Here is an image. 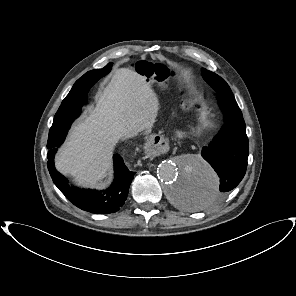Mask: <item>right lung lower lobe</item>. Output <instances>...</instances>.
Returning <instances> with one entry per match:
<instances>
[{
	"mask_svg": "<svg viewBox=\"0 0 296 296\" xmlns=\"http://www.w3.org/2000/svg\"><path fill=\"white\" fill-rule=\"evenodd\" d=\"M98 80V77H89L85 78L84 81L79 84L82 85L81 89L86 91L90 89V87ZM64 139H59L48 147L49 152L47 154V166L54 184L72 204L82 210L95 214L117 212L124 205L125 200L127 199L129 186L135 173L131 172L125 166L122 157L115 154L113 157L115 172L114 181L108 189L96 191L73 187L68 184V180L54 167L56 147H59L63 143Z\"/></svg>",
	"mask_w": 296,
	"mask_h": 296,
	"instance_id": "right-lung-lower-lobe-1",
	"label": "right lung lower lobe"
}]
</instances>
